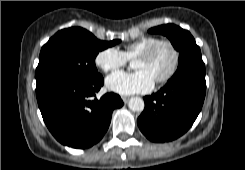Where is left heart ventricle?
<instances>
[{
	"instance_id": "1",
	"label": "left heart ventricle",
	"mask_w": 245,
	"mask_h": 170,
	"mask_svg": "<svg viewBox=\"0 0 245 170\" xmlns=\"http://www.w3.org/2000/svg\"><path fill=\"white\" fill-rule=\"evenodd\" d=\"M173 55L170 48L166 45L159 46L153 55L147 59H136L134 68L144 70L155 80L163 77L171 68Z\"/></svg>"
}]
</instances>
